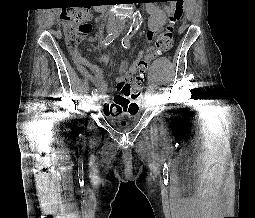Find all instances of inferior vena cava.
Wrapping results in <instances>:
<instances>
[{
	"mask_svg": "<svg viewBox=\"0 0 255 218\" xmlns=\"http://www.w3.org/2000/svg\"><path fill=\"white\" fill-rule=\"evenodd\" d=\"M117 18H115L114 16H111L109 17V20H108V27L109 28H117Z\"/></svg>",
	"mask_w": 255,
	"mask_h": 218,
	"instance_id": "1",
	"label": "inferior vena cava"
}]
</instances>
